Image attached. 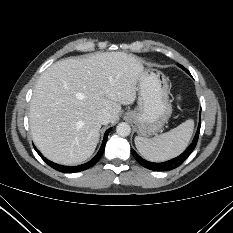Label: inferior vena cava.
<instances>
[{
	"label": "inferior vena cava",
	"instance_id": "obj_1",
	"mask_svg": "<svg viewBox=\"0 0 233 233\" xmlns=\"http://www.w3.org/2000/svg\"><path fill=\"white\" fill-rule=\"evenodd\" d=\"M98 120L101 124L106 125L110 122V114L106 111H103L98 115Z\"/></svg>",
	"mask_w": 233,
	"mask_h": 233
}]
</instances>
